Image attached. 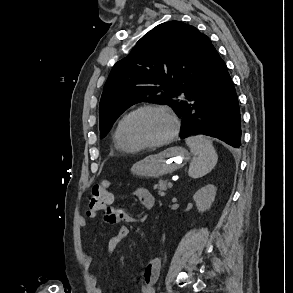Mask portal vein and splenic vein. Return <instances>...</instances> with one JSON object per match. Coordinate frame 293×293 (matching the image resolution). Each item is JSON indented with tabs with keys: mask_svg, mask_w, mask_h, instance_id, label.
Instances as JSON below:
<instances>
[{
	"mask_svg": "<svg viewBox=\"0 0 293 293\" xmlns=\"http://www.w3.org/2000/svg\"><path fill=\"white\" fill-rule=\"evenodd\" d=\"M168 187H169V188H172V187H173V183H172V182H169V183H168Z\"/></svg>",
	"mask_w": 293,
	"mask_h": 293,
	"instance_id": "portal-vein-and-splenic-vein-1",
	"label": "portal vein and splenic vein"
}]
</instances>
